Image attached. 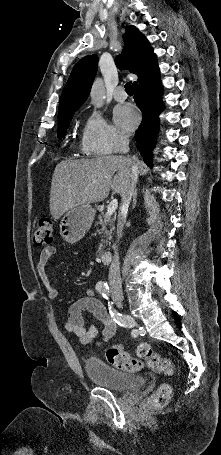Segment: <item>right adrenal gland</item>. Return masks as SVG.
I'll list each match as a JSON object with an SVG mask.
<instances>
[{"instance_id":"2a0ac1e0","label":"right adrenal gland","mask_w":221,"mask_h":455,"mask_svg":"<svg viewBox=\"0 0 221 455\" xmlns=\"http://www.w3.org/2000/svg\"><path fill=\"white\" fill-rule=\"evenodd\" d=\"M137 189H135L134 194H133V204L132 207L135 208L136 203H137Z\"/></svg>"}]
</instances>
